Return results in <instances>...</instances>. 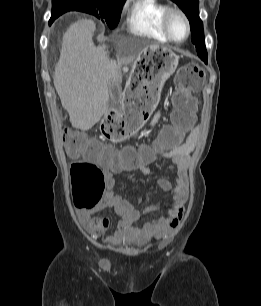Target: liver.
<instances>
[{
  "instance_id": "1",
  "label": "liver",
  "mask_w": 261,
  "mask_h": 306,
  "mask_svg": "<svg viewBox=\"0 0 261 306\" xmlns=\"http://www.w3.org/2000/svg\"><path fill=\"white\" fill-rule=\"evenodd\" d=\"M95 29V23L88 19L78 20L68 27L54 72V86L62 106L72 126L83 131L108 113L109 85H119L122 81L120 64L109 58L108 46L94 45ZM123 45V42L118 43V46ZM134 58L123 62L130 63Z\"/></svg>"
}]
</instances>
